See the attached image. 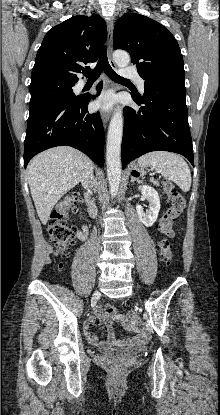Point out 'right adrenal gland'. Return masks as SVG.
<instances>
[{
	"label": "right adrenal gland",
	"instance_id": "obj_1",
	"mask_svg": "<svg viewBox=\"0 0 220 415\" xmlns=\"http://www.w3.org/2000/svg\"><path fill=\"white\" fill-rule=\"evenodd\" d=\"M90 176H91L93 179L95 178V177H94V174H93V170L91 171Z\"/></svg>",
	"mask_w": 220,
	"mask_h": 415
}]
</instances>
